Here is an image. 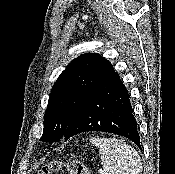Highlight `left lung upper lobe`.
<instances>
[{
	"mask_svg": "<svg viewBox=\"0 0 175 174\" xmlns=\"http://www.w3.org/2000/svg\"><path fill=\"white\" fill-rule=\"evenodd\" d=\"M114 72L112 64L96 53L84 54L71 61L51 90L41 141H59L78 102Z\"/></svg>",
	"mask_w": 175,
	"mask_h": 174,
	"instance_id": "obj_1",
	"label": "left lung upper lobe"
}]
</instances>
